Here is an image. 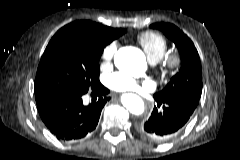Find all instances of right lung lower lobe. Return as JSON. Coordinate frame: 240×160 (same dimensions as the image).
Returning a JSON list of instances; mask_svg holds the SVG:
<instances>
[{
  "mask_svg": "<svg viewBox=\"0 0 240 160\" xmlns=\"http://www.w3.org/2000/svg\"><path fill=\"white\" fill-rule=\"evenodd\" d=\"M101 83L92 90L94 96L84 105V94H68L49 91L36 96L38 112L47 128L60 140H79L90 134L97 126L102 108L110 99Z\"/></svg>",
  "mask_w": 240,
  "mask_h": 160,
  "instance_id": "obj_1",
  "label": "right lung lower lobe"
}]
</instances>
